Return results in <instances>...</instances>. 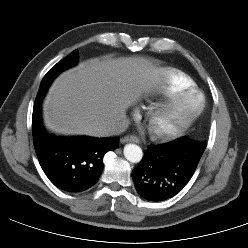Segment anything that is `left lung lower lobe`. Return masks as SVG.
I'll list each match as a JSON object with an SVG mask.
<instances>
[{"instance_id": "left-lung-lower-lobe-1", "label": "left lung lower lobe", "mask_w": 248, "mask_h": 248, "mask_svg": "<svg viewBox=\"0 0 248 248\" xmlns=\"http://www.w3.org/2000/svg\"><path fill=\"white\" fill-rule=\"evenodd\" d=\"M204 150L186 137L149 146L132 172L137 192L155 202L174 197L193 176Z\"/></svg>"}]
</instances>
